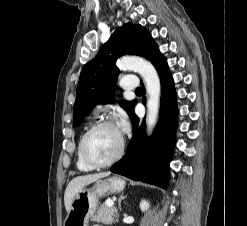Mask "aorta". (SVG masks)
Wrapping results in <instances>:
<instances>
[{
    "mask_svg": "<svg viewBox=\"0 0 247 226\" xmlns=\"http://www.w3.org/2000/svg\"><path fill=\"white\" fill-rule=\"evenodd\" d=\"M117 66L121 70H133L141 75L145 82L147 98V132L151 134L158 119L161 83L154 66L142 57L125 56L117 61Z\"/></svg>",
    "mask_w": 247,
    "mask_h": 226,
    "instance_id": "aorta-1",
    "label": "aorta"
}]
</instances>
